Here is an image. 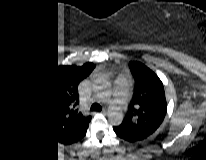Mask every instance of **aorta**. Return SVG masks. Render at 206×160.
Here are the masks:
<instances>
[{
    "label": "aorta",
    "mask_w": 206,
    "mask_h": 160,
    "mask_svg": "<svg viewBox=\"0 0 206 160\" xmlns=\"http://www.w3.org/2000/svg\"><path fill=\"white\" fill-rule=\"evenodd\" d=\"M108 117L114 125L120 124L123 118L121 107L119 105H111L109 108Z\"/></svg>",
    "instance_id": "1"
}]
</instances>
